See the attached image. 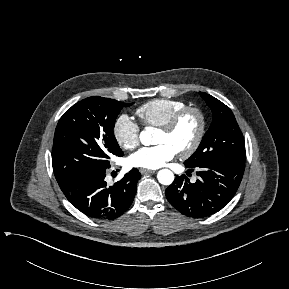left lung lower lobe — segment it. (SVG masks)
Masks as SVG:
<instances>
[{
    "label": "left lung lower lobe",
    "instance_id": "1",
    "mask_svg": "<svg viewBox=\"0 0 289 289\" xmlns=\"http://www.w3.org/2000/svg\"><path fill=\"white\" fill-rule=\"evenodd\" d=\"M197 167L200 178L195 183H190L185 175L177 176L165 193L179 212L202 218L221 210L234 197L243 177L245 161L224 158Z\"/></svg>",
    "mask_w": 289,
    "mask_h": 289
}]
</instances>
